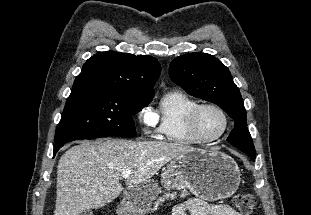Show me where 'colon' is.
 <instances>
[{"label":"colon","mask_w":311,"mask_h":215,"mask_svg":"<svg viewBox=\"0 0 311 215\" xmlns=\"http://www.w3.org/2000/svg\"><path fill=\"white\" fill-rule=\"evenodd\" d=\"M233 204L241 215H250L256 205V198L252 194L239 193L234 195Z\"/></svg>","instance_id":"colon-1"}]
</instances>
